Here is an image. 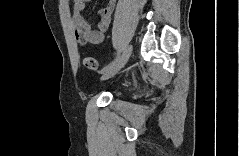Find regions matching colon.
Segmentation results:
<instances>
[{
    "label": "colon",
    "instance_id": "1",
    "mask_svg": "<svg viewBox=\"0 0 239 156\" xmlns=\"http://www.w3.org/2000/svg\"><path fill=\"white\" fill-rule=\"evenodd\" d=\"M83 64L87 69L93 71H96L99 67L97 60L92 57H85L83 59Z\"/></svg>",
    "mask_w": 239,
    "mask_h": 156
}]
</instances>
